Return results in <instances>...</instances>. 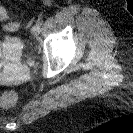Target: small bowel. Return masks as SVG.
<instances>
[{"instance_id": "1", "label": "small bowel", "mask_w": 133, "mask_h": 133, "mask_svg": "<svg viewBox=\"0 0 133 133\" xmlns=\"http://www.w3.org/2000/svg\"><path fill=\"white\" fill-rule=\"evenodd\" d=\"M5 30L7 31H13L12 29H10L7 25L4 26Z\"/></svg>"}]
</instances>
